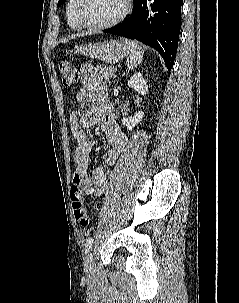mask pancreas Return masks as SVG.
<instances>
[{
    "label": "pancreas",
    "instance_id": "pancreas-1",
    "mask_svg": "<svg viewBox=\"0 0 239 303\" xmlns=\"http://www.w3.org/2000/svg\"><path fill=\"white\" fill-rule=\"evenodd\" d=\"M111 67L101 65L100 66V77L105 79L106 81L111 80L115 77V73L111 71Z\"/></svg>",
    "mask_w": 239,
    "mask_h": 303
}]
</instances>
